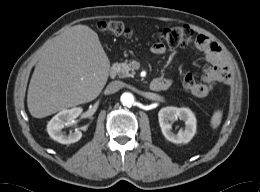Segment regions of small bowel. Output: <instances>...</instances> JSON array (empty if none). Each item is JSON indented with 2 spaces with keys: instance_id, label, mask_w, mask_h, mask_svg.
I'll return each instance as SVG.
<instances>
[{
  "instance_id": "c3829d8e",
  "label": "small bowel",
  "mask_w": 260,
  "mask_h": 192,
  "mask_svg": "<svg viewBox=\"0 0 260 192\" xmlns=\"http://www.w3.org/2000/svg\"><path fill=\"white\" fill-rule=\"evenodd\" d=\"M197 46L205 53L206 59L209 62V67L204 70L201 76L203 83H196L197 89L192 93L198 97H205L210 93L216 83H229L231 75L226 66L225 59L216 43L204 35H199ZM150 50L153 54L161 55L165 53L166 47L162 43L156 42L151 46ZM160 79L165 82V89L172 83L170 78Z\"/></svg>"
}]
</instances>
